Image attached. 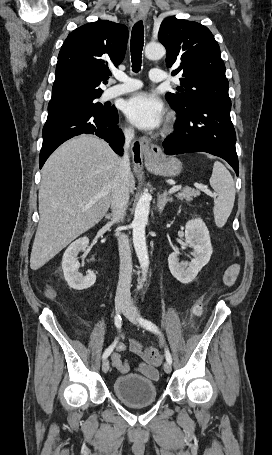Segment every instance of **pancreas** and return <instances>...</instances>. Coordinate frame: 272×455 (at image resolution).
Returning <instances> with one entry per match:
<instances>
[{"mask_svg": "<svg viewBox=\"0 0 272 455\" xmlns=\"http://www.w3.org/2000/svg\"><path fill=\"white\" fill-rule=\"evenodd\" d=\"M199 195H200V191L198 189L186 187L180 193H178L176 196L180 200H185L186 202H191L193 200V198H195Z\"/></svg>", "mask_w": 272, "mask_h": 455, "instance_id": "1", "label": "pancreas"}]
</instances>
